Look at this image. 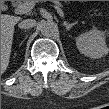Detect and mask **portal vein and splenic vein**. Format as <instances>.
<instances>
[{"instance_id":"obj_1","label":"portal vein and splenic vein","mask_w":109,"mask_h":109,"mask_svg":"<svg viewBox=\"0 0 109 109\" xmlns=\"http://www.w3.org/2000/svg\"><path fill=\"white\" fill-rule=\"evenodd\" d=\"M53 6L54 8L57 10L58 14L63 17V11L61 9L62 5L59 4L57 1L53 2ZM36 5L35 1H26L25 3H23L22 5H20L17 9H16V13L17 14H24L26 12L31 11Z\"/></svg>"}]
</instances>
